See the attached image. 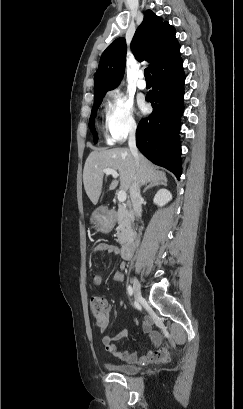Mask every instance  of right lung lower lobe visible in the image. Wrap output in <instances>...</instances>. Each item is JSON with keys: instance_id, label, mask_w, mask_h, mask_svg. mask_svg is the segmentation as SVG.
<instances>
[{"instance_id": "right-lung-lower-lobe-1", "label": "right lung lower lobe", "mask_w": 243, "mask_h": 409, "mask_svg": "<svg viewBox=\"0 0 243 409\" xmlns=\"http://www.w3.org/2000/svg\"><path fill=\"white\" fill-rule=\"evenodd\" d=\"M180 46L163 60L152 73L153 89L146 96L153 112L140 121L136 145L153 163L165 167L179 179L181 145L179 131L183 114V83L185 80Z\"/></svg>"}]
</instances>
